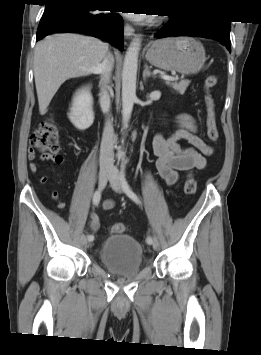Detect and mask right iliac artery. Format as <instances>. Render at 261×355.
Listing matches in <instances>:
<instances>
[{
    "label": "right iliac artery",
    "instance_id": "82829eb1",
    "mask_svg": "<svg viewBox=\"0 0 261 355\" xmlns=\"http://www.w3.org/2000/svg\"><path fill=\"white\" fill-rule=\"evenodd\" d=\"M101 199V189L99 188L98 190L95 191L94 196H93V204L98 205ZM94 240L93 235H88V241L92 242Z\"/></svg>",
    "mask_w": 261,
    "mask_h": 355
}]
</instances>
